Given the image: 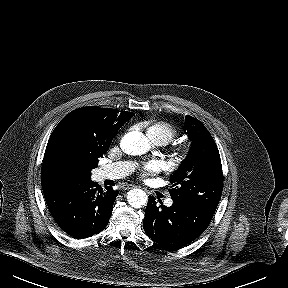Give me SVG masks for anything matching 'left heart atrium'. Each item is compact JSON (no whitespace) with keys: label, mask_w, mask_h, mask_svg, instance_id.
<instances>
[{"label":"left heart atrium","mask_w":288,"mask_h":288,"mask_svg":"<svg viewBox=\"0 0 288 288\" xmlns=\"http://www.w3.org/2000/svg\"><path fill=\"white\" fill-rule=\"evenodd\" d=\"M159 170V165L157 162H150L148 163L143 170V176H147L150 173L157 172Z\"/></svg>","instance_id":"39dd6f15"}]
</instances>
